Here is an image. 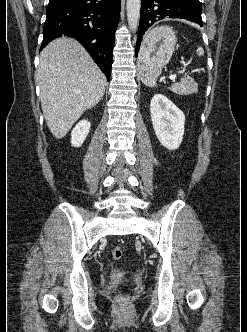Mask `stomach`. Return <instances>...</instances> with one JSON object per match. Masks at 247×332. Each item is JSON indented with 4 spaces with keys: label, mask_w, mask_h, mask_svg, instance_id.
<instances>
[{
    "label": "stomach",
    "mask_w": 247,
    "mask_h": 332,
    "mask_svg": "<svg viewBox=\"0 0 247 332\" xmlns=\"http://www.w3.org/2000/svg\"><path fill=\"white\" fill-rule=\"evenodd\" d=\"M177 42L171 27L159 26L144 37L138 54V67L142 79L155 80L174 53Z\"/></svg>",
    "instance_id": "obj_1"
}]
</instances>
